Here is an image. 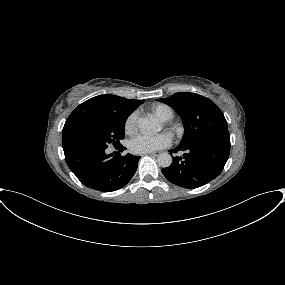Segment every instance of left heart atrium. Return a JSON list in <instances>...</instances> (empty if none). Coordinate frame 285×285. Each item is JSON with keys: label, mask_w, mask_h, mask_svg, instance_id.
<instances>
[{"label": "left heart atrium", "mask_w": 285, "mask_h": 285, "mask_svg": "<svg viewBox=\"0 0 285 285\" xmlns=\"http://www.w3.org/2000/svg\"><path fill=\"white\" fill-rule=\"evenodd\" d=\"M170 144V139L165 134L149 135L138 134L129 143V148L133 153L144 154L164 148Z\"/></svg>", "instance_id": "1"}]
</instances>
